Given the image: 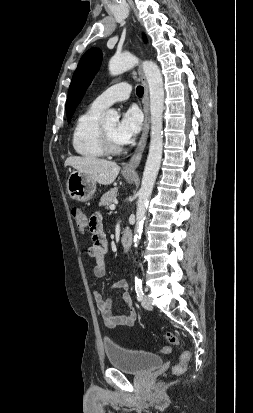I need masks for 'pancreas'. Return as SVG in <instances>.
Listing matches in <instances>:
<instances>
[{
    "instance_id": "obj_1",
    "label": "pancreas",
    "mask_w": 253,
    "mask_h": 413,
    "mask_svg": "<svg viewBox=\"0 0 253 413\" xmlns=\"http://www.w3.org/2000/svg\"><path fill=\"white\" fill-rule=\"evenodd\" d=\"M116 196H117V188H113L102 196L99 205L100 206L111 205L116 200Z\"/></svg>"
}]
</instances>
